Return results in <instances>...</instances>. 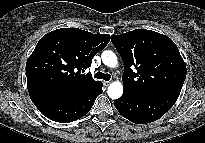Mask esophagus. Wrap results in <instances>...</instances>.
<instances>
[{"label": "esophagus", "mask_w": 205, "mask_h": 143, "mask_svg": "<svg viewBox=\"0 0 205 143\" xmlns=\"http://www.w3.org/2000/svg\"><path fill=\"white\" fill-rule=\"evenodd\" d=\"M110 83H111L110 81H103V84H104V86H106V87H107L108 85H110Z\"/></svg>", "instance_id": "esophagus-1"}]
</instances>
